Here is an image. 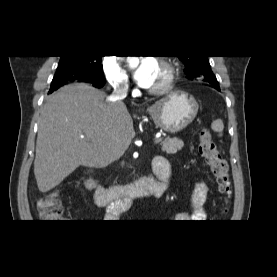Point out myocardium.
<instances>
[{"label":"myocardium","instance_id":"f54148a6","mask_svg":"<svg viewBox=\"0 0 277 277\" xmlns=\"http://www.w3.org/2000/svg\"><path fill=\"white\" fill-rule=\"evenodd\" d=\"M159 64L165 70V77L159 85H157L155 87H151L148 90L149 93H151V94H162V93L169 91L172 88L173 83L175 81L176 74H175V69H174L173 65L169 61L164 60V59H161L159 61Z\"/></svg>","mask_w":277,"mask_h":277}]
</instances>
